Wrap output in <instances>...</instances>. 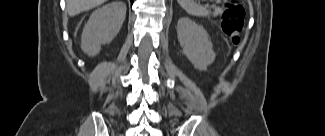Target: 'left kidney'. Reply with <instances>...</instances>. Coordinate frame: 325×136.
<instances>
[{"mask_svg":"<svg viewBox=\"0 0 325 136\" xmlns=\"http://www.w3.org/2000/svg\"><path fill=\"white\" fill-rule=\"evenodd\" d=\"M177 33L183 53L193 66L206 70L216 57L207 31L191 19L182 17L178 21Z\"/></svg>","mask_w":325,"mask_h":136,"instance_id":"left-kidney-1","label":"left kidney"}]
</instances>
